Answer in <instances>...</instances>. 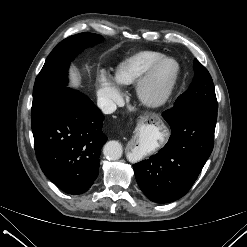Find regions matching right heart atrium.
<instances>
[{
    "label": "right heart atrium",
    "instance_id": "obj_1",
    "mask_svg": "<svg viewBox=\"0 0 247 247\" xmlns=\"http://www.w3.org/2000/svg\"><path fill=\"white\" fill-rule=\"evenodd\" d=\"M98 97L106 109H112L122 99L119 84L104 71L98 75Z\"/></svg>",
    "mask_w": 247,
    "mask_h": 247
}]
</instances>
